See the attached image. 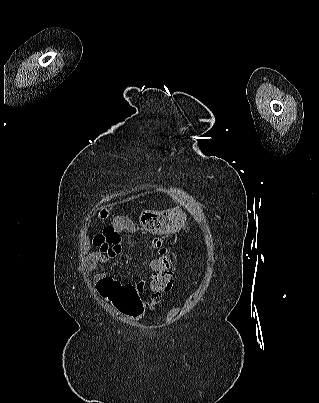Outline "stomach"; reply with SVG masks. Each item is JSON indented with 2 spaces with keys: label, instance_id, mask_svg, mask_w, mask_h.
I'll use <instances>...</instances> for the list:
<instances>
[{
  "label": "stomach",
  "instance_id": "1",
  "mask_svg": "<svg viewBox=\"0 0 319 403\" xmlns=\"http://www.w3.org/2000/svg\"><path fill=\"white\" fill-rule=\"evenodd\" d=\"M140 228H145L146 234H174L185 225L186 216L180 209L153 212V210H138Z\"/></svg>",
  "mask_w": 319,
  "mask_h": 403
}]
</instances>
